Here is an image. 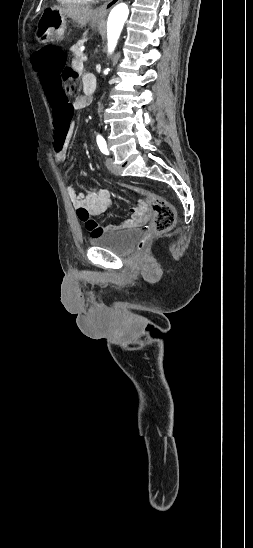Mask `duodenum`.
<instances>
[{
	"label": "duodenum",
	"instance_id": "duodenum-1",
	"mask_svg": "<svg viewBox=\"0 0 253 548\" xmlns=\"http://www.w3.org/2000/svg\"><path fill=\"white\" fill-rule=\"evenodd\" d=\"M96 88V81L93 77H89L85 82H84V93L86 96L90 97L92 95V93L94 92Z\"/></svg>",
	"mask_w": 253,
	"mask_h": 548
}]
</instances>
